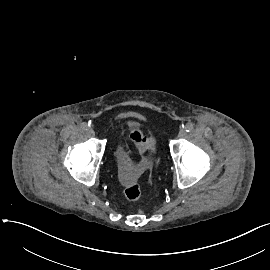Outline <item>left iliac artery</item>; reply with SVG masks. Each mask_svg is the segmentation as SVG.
<instances>
[{
	"mask_svg": "<svg viewBox=\"0 0 270 270\" xmlns=\"http://www.w3.org/2000/svg\"><path fill=\"white\" fill-rule=\"evenodd\" d=\"M193 128H194V125L191 122L187 123L185 125V127H184V129H185L186 132H191L193 130Z\"/></svg>",
	"mask_w": 270,
	"mask_h": 270,
	"instance_id": "44dca946",
	"label": "left iliac artery"
}]
</instances>
